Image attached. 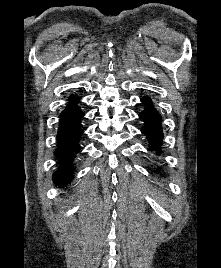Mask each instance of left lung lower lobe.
I'll list each match as a JSON object with an SVG mask.
<instances>
[{"label": "left lung lower lobe", "mask_w": 221, "mask_h": 268, "mask_svg": "<svg viewBox=\"0 0 221 268\" xmlns=\"http://www.w3.org/2000/svg\"><path fill=\"white\" fill-rule=\"evenodd\" d=\"M145 104V109L139 114L140 118L145 122L142 133L148 138L151 144L149 149H158L162 145L163 132L161 128V116L152 105L149 97L141 99Z\"/></svg>", "instance_id": "1"}]
</instances>
